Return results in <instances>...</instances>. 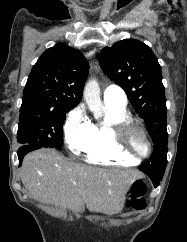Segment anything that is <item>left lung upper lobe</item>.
I'll list each match as a JSON object with an SVG mask.
<instances>
[{
    "mask_svg": "<svg viewBox=\"0 0 187 242\" xmlns=\"http://www.w3.org/2000/svg\"><path fill=\"white\" fill-rule=\"evenodd\" d=\"M99 63L104 73L124 89L153 140L150 160L139 169L164 174L167 165V108L161 67L156 56L143 42L125 39L103 48Z\"/></svg>",
    "mask_w": 187,
    "mask_h": 242,
    "instance_id": "5c2ea615",
    "label": "left lung upper lobe"
}]
</instances>
